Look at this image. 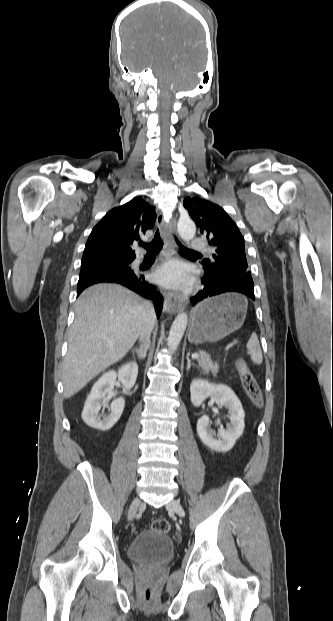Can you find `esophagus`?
Segmentation results:
<instances>
[{
    "label": "esophagus",
    "instance_id": "obj_1",
    "mask_svg": "<svg viewBox=\"0 0 333 621\" xmlns=\"http://www.w3.org/2000/svg\"><path fill=\"white\" fill-rule=\"evenodd\" d=\"M157 225L164 237L166 249L171 252L174 247V236L176 235V221L172 219L170 222H164L162 216L157 217ZM187 304V300L181 295L169 293L164 301V310L168 314H176L181 311Z\"/></svg>",
    "mask_w": 333,
    "mask_h": 621
}]
</instances>
